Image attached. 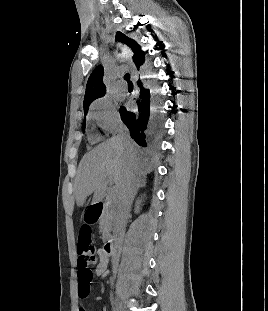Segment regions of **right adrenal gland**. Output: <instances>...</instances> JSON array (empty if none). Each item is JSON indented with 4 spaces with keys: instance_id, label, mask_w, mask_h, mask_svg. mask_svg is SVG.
Wrapping results in <instances>:
<instances>
[{
    "instance_id": "right-adrenal-gland-1",
    "label": "right adrenal gland",
    "mask_w": 268,
    "mask_h": 311,
    "mask_svg": "<svg viewBox=\"0 0 268 311\" xmlns=\"http://www.w3.org/2000/svg\"><path fill=\"white\" fill-rule=\"evenodd\" d=\"M146 186V179L144 177H141L138 179L137 184H136V192L140 187H145Z\"/></svg>"
}]
</instances>
